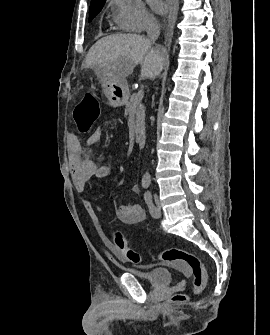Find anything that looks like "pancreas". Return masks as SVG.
Segmentation results:
<instances>
[{
	"instance_id": "1",
	"label": "pancreas",
	"mask_w": 270,
	"mask_h": 335,
	"mask_svg": "<svg viewBox=\"0 0 270 335\" xmlns=\"http://www.w3.org/2000/svg\"><path fill=\"white\" fill-rule=\"evenodd\" d=\"M129 108H133L134 110V114H136V126H139V124H141V122H143L145 116H144V110H142V112H140V110H138L137 106H133L132 104V96H130V102H126V110H129ZM139 128H136V132H138Z\"/></svg>"
}]
</instances>
